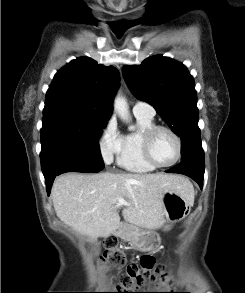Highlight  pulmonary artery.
Listing matches in <instances>:
<instances>
[{"label": "pulmonary artery", "instance_id": "1", "mask_svg": "<svg viewBox=\"0 0 245 293\" xmlns=\"http://www.w3.org/2000/svg\"><path fill=\"white\" fill-rule=\"evenodd\" d=\"M133 113L135 115L143 114V115H149L154 116L155 110L152 105H150L147 102L143 101H137L133 106Z\"/></svg>", "mask_w": 245, "mask_h": 293}]
</instances>
